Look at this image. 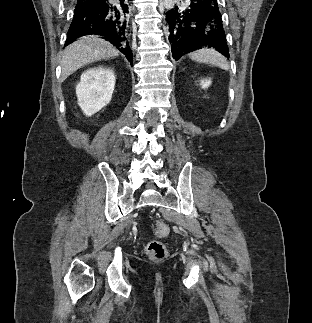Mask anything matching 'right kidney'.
Segmentation results:
<instances>
[{"mask_svg": "<svg viewBox=\"0 0 312 323\" xmlns=\"http://www.w3.org/2000/svg\"><path fill=\"white\" fill-rule=\"evenodd\" d=\"M115 88L113 70L97 66L83 72L76 86L78 106L85 116H93L111 102Z\"/></svg>", "mask_w": 312, "mask_h": 323, "instance_id": "ca27d5eb", "label": "right kidney"}]
</instances>
